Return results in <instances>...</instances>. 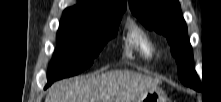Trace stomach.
I'll use <instances>...</instances> for the list:
<instances>
[{"label": "stomach", "mask_w": 221, "mask_h": 102, "mask_svg": "<svg viewBox=\"0 0 221 102\" xmlns=\"http://www.w3.org/2000/svg\"><path fill=\"white\" fill-rule=\"evenodd\" d=\"M134 102H167L166 93L158 87L144 91Z\"/></svg>", "instance_id": "0dacf381"}]
</instances>
